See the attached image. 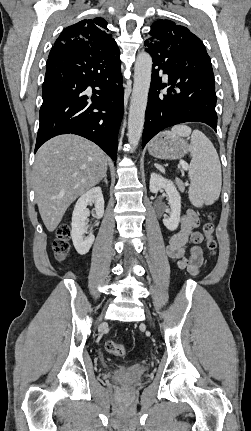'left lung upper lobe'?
<instances>
[{
    "mask_svg": "<svg viewBox=\"0 0 251 431\" xmlns=\"http://www.w3.org/2000/svg\"><path fill=\"white\" fill-rule=\"evenodd\" d=\"M148 39L170 48L188 49L190 53L210 61L202 41L186 27L170 20L154 22Z\"/></svg>",
    "mask_w": 251,
    "mask_h": 431,
    "instance_id": "left-lung-upper-lobe-1",
    "label": "left lung upper lobe"
}]
</instances>
